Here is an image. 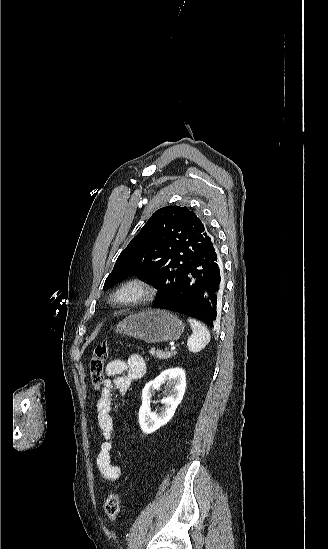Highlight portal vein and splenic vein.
Returning <instances> with one entry per match:
<instances>
[{
    "label": "portal vein and splenic vein",
    "instance_id": "18ae733b",
    "mask_svg": "<svg viewBox=\"0 0 328 549\" xmlns=\"http://www.w3.org/2000/svg\"><path fill=\"white\" fill-rule=\"evenodd\" d=\"M174 349H176V347H171V348H170V351H174Z\"/></svg>",
    "mask_w": 328,
    "mask_h": 549
}]
</instances>
